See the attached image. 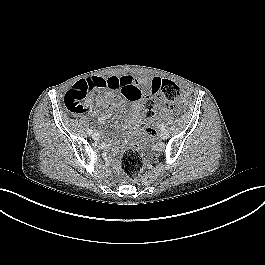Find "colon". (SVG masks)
<instances>
[{
  "instance_id": "colon-1",
  "label": "colon",
  "mask_w": 265,
  "mask_h": 265,
  "mask_svg": "<svg viewBox=\"0 0 265 265\" xmlns=\"http://www.w3.org/2000/svg\"><path fill=\"white\" fill-rule=\"evenodd\" d=\"M98 82L79 81L65 95V105L73 113H82L84 111L83 101L86 99L89 91L95 89ZM152 94H160L164 105L180 102L182 105L187 104L186 98L182 97L179 86L169 79H156L152 83ZM144 118L150 122L156 116L157 103L147 97L143 103ZM148 141L146 136H141L135 145L128 148L121 157V168L124 174L130 180H136L143 170V157L141 151Z\"/></svg>"
}]
</instances>
